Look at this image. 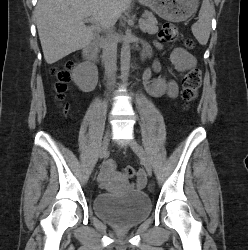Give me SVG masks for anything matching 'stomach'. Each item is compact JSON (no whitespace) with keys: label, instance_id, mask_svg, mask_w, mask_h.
<instances>
[{"label":"stomach","instance_id":"stomach-1","mask_svg":"<svg viewBox=\"0 0 248 250\" xmlns=\"http://www.w3.org/2000/svg\"><path fill=\"white\" fill-rule=\"evenodd\" d=\"M139 2L171 22L187 20L195 13L199 4V0H139Z\"/></svg>","mask_w":248,"mask_h":250}]
</instances>
